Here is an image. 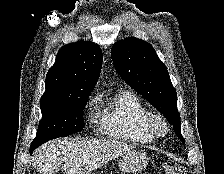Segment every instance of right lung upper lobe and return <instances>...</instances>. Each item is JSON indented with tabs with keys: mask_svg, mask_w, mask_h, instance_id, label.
Listing matches in <instances>:
<instances>
[{
	"mask_svg": "<svg viewBox=\"0 0 224 174\" xmlns=\"http://www.w3.org/2000/svg\"><path fill=\"white\" fill-rule=\"evenodd\" d=\"M102 51L97 44L78 41L62 47L46 76L41 100H68L89 95L102 68Z\"/></svg>",
	"mask_w": 224,
	"mask_h": 174,
	"instance_id": "right-lung-upper-lobe-1",
	"label": "right lung upper lobe"
}]
</instances>
